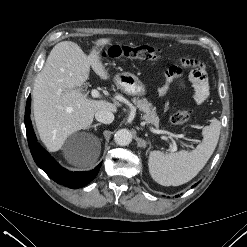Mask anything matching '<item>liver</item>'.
Segmentation results:
<instances>
[{
    "instance_id": "liver-1",
    "label": "liver",
    "mask_w": 247,
    "mask_h": 247,
    "mask_svg": "<svg viewBox=\"0 0 247 247\" xmlns=\"http://www.w3.org/2000/svg\"><path fill=\"white\" fill-rule=\"evenodd\" d=\"M110 42V38L96 40L90 54L86 55L77 43L62 41L48 55L35 79L32 97L37 130L49 151H58L68 136L88 128L98 110L117 112L115 104L90 99L81 88L89 78L90 66L102 79H109L99 48ZM99 154L100 144L97 143L92 154L70 159V163L81 168L92 167Z\"/></svg>"
}]
</instances>
